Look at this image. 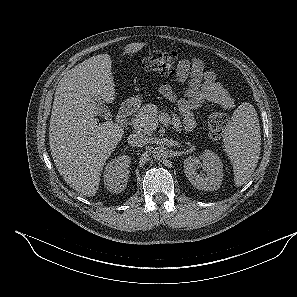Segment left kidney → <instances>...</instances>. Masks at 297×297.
Masks as SVG:
<instances>
[{
  "mask_svg": "<svg viewBox=\"0 0 297 297\" xmlns=\"http://www.w3.org/2000/svg\"><path fill=\"white\" fill-rule=\"evenodd\" d=\"M203 168L206 175L198 173L197 169ZM184 173L191 184L199 190H217L223 178V165L220 158L210 150L202 155V163L197 157H188L184 160Z\"/></svg>",
  "mask_w": 297,
  "mask_h": 297,
  "instance_id": "obj_1",
  "label": "left kidney"
}]
</instances>
